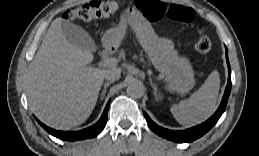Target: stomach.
Returning <instances> with one entry per match:
<instances>
[{
    "mask_svg": "<svg viewBox=\"0 0 259 156\" xmlns=\"http://www.w3.org/2000/svg\"><path fill=\"white\" fill-rule=\"evenodd\" d=\"M128 25L135 30L155 69L165 76L166 88L179 95L189 92L195 85L194 70L190 61L178 55L171 40L159 38L150 23L135 8L127 9L121 15L119 25L108 31L107 41L118 46Z\"/></svg>",
    "mask_w": 259,
    "mask_h": 156,
    "instance_id": "stomach-1",
    "label": "stomach"
}]
</instances>
